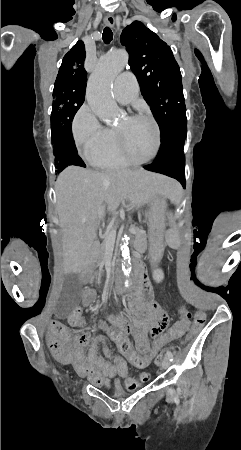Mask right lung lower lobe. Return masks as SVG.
<instances>
[{
    "mask_svg": "<svg viewBox=\"0 0 241 450\" xmlns=\"http://www.w3.org/2000/svg\"><path fill=\"white\" fill-rule=\"evenodd\" d=\"M65 156L70 165L86 167L82 159L77 155V149L75 147L74 141L72 142L70 147L66 149Z\"/></svg>",
    "mask_w": 241,
    "mask_h": 450,
    "instance_id": "98d812e1",
    "label": "right lung lower lobe"
}]
</instances>
